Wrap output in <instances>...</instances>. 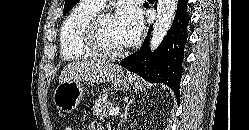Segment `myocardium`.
Returning a JSON list of instances; mask_svg holds the SVG:
<instances>
[{"label":"myocardium","instance_id":"obj_1","mask_svg":"<svg viewBox=\"0 0 249 130\" xmlns=\"http://www.w3.org/2000/svg\"><path fill=\"white\" fill-rule=\"evenodd\" d=\"M108 11H98L87 22L84 28V41L87 48L95 55L104 59H118L126 55L127 47L120 50H109L103 43L101 38V26L103 20L110 16Z\"/></svg>","mask_w":249,"mask_h":130}]
</instances>
